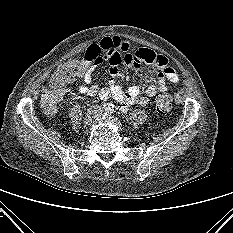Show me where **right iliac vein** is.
Listing matches in <instances>:
<instances>
[{
  "label": "right iliac vein",
  "mask_w": 233,
  "mask_h": 233,
  "mask_svg": "<svg viewBox=\"0 0 233 233\" xmlns=\"http://www.w3.org/2000/svg\"><path fill=\"white\" fill-rule=\"evenodd\" d=\"M97 114L98 110H96L95 108H90L84 118L83 127L88 128L89 125H91L93 120L96 118Z\"/></svg>",
  "instance_id": "obj_1"
}]
</instances>
